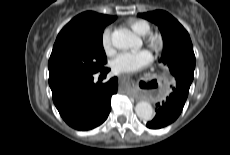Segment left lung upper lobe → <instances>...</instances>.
<instances>
[{
	"label": "left lung upper lobe",
	"mask_w": 230,
	"mask_h": 155,
	"mask_svg": "<svg viewBox=\"0 0 230 155\" xmlns=\"http://www.w3.org/2000/svg\"><path fill=\"white\" fill-rule=\"evenodd\" d=\"M138 16L155 23L161 31L164 47L160 62L168 65L175 79L181 78L192 82L195 55L190 36L185 28L163 10L139 13Z\"/></svg>",
	"instance_id": "obj_1"
}]
</instances>
